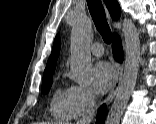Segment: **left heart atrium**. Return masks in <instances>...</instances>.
<instances>
[{
  "label": "left heart atrium",
  "mask_w": 156,
  "mask_h": 124,
  "mask_svg": "<svg viewBox=\"0 0 156 124\" xmlns=\"http://www.w3.org/2000/svg\"><path fill=\"white\" fill-rule=\"evenodd\" d=\"M115 80V71L107 62H99L93 69V82L97 91L107 92Z\"/></svg>",
  "instance_id": "left-heart-atrium-1"
}]
</instances>
